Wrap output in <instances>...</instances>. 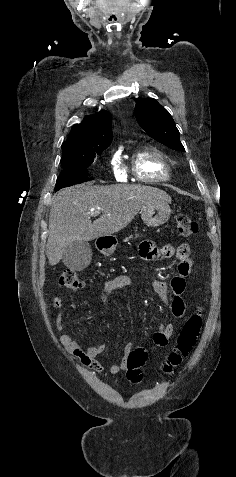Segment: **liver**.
Segmentation results:
<instances>
[{"label":"liver","instance_id":"liver-1","mask_svg":"<svg viewBox=\"0 0 236 477\" xmlns=\"http://www.w3.org/2000/svg\"><path fill=\"white\" fill-rule=\"evenodd\" d=\"M170 202L158 188L144 185H79L63 189L52 199L46 256L49 264L60 262L65 248L74 241L111 236L130 224L148 203ZM101 213L93 223L90 213Z\"/></svg>","mask_w":236,"mask_h":477}]
</instances>
